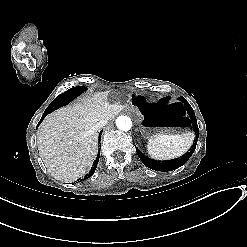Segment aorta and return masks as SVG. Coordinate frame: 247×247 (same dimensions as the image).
Returning a JSON list of instances; mask_svg holds the SVG:
<instances>
[{
  "mask_svg": "<svg viewBox=\"0 0 247 247\" xmlns=\"http://www.w3.org/2000/svg\"><path fill=\"white\" fill-rule=\"evenodd\" d=\"M116 126L119 130L129 131L132 127V121L128 116H119L116 119Z\"/></svg>",
  "mask_w": 247,
  "mask_h": 247,
  "instance_id": "obj_1",
  "label": "aorta"
}]
</instances>
